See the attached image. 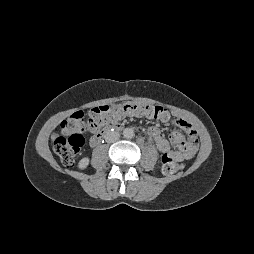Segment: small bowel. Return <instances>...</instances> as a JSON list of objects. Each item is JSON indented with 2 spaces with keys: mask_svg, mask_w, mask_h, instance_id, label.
I'll list each match as a JSON object with an SVG mask.
<instances>
[{
  "mask_svg": "<svg viewBox=\"0 0 254 254\" xmlns=\"http://www.w3.org/2000/svg\"><path fill=\"white\" fill-rule=\"evenodd\" d=\"M161 122H169L171 120L170 114L163 110L162 116L158 117ZM172 124L187 133L185 138L178 130L171 133L169 140L163 137L160 129L157 126H151L148 129L149 136L155 142L157 148L164 156H170L175 161L181 162L183 160L192 159L198 148L197 132L192 123L183 117H177L172 120ZM171 146H176L178 150H172Z\"/></svg>",
  "mask_w": 254,
  "mask_h": 254,
  "instance_id": "1",
  "label": "small bowel"
}]
</instances>
